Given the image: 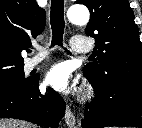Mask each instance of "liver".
Masks as SVG:
<instances>
[{
  "label": "liver",
  "instance_id": "1",
  "mask_svg": "<svg viewBox=\"0 0 142 128\" xmlns=\"http://www.w3.org/2000/svg\"><path fill=\"white\" fill-rule=\"evenodd\" d=\"M0 128H37V126L17 119H0Z\"/></svg>",
  "mask_w": 142,
  "mask_h": 128
}]
</instances>
